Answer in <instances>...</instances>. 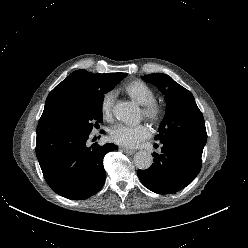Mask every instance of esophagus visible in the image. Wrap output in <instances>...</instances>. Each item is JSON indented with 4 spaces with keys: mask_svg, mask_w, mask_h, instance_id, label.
Listing matches in <instances>:
<instances>
[{
    "mask_svg": "<svg viewBox=\"0 0 248 248\" xmlns=\"http://www.w3.org/2000/svg\"><path fill=\"white\" fill-rule=\"evenodd\" d=\"M122 149L124 150L125 153L130 154V155L135 153V150H133V149H129V148H125V147H123Z\"/></svg>",
    "mask_w": 248,
    "mask_h": 248,
    "instance_id": "1",
    "label": "esophagus"
}]
</instances>
